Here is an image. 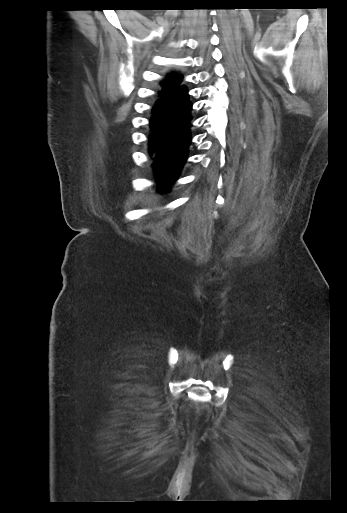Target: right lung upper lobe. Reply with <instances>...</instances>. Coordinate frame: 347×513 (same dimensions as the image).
Returning a JSON list of instances; mask_svg holds the SVG:
<instances>
[{
	"instance_id": "cb5924a9",
	"label": "right lung upper lobe",
	"mask_w": 347,
	"mask_h": 513,
	"mask_svg": "<svg viewBox=\"0 0 347 513\" xmlns=\"http://www.w3.org/2000/svg\"><path fill=\"white\" fill-rule=\"evenodd\" d=\"M183 75L168 74L164 82H161L163 88L160 91L161 95L167 94L180 86Z\"/></svg>"
}]
</instances>
